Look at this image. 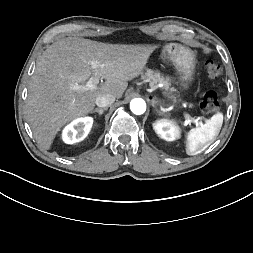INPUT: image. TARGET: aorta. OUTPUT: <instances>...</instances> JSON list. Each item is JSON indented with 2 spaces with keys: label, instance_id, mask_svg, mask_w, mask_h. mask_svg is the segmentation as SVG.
Segmentation results:
<instances>
[{
  "label": "aorta",
  "instance_id": "1",
  "mask_svg": "<svg viewBox=\"0 0 253 253\" xmlns=\"http://www.w3.org/2000/svg\"><path fill=\"white\" fill-rule=\"evenodd\" d=\"M130 109L136 115H141L146 111V103L141 98H135L130 102Z\"/></svg>",
  "mask_w": 253,
  "mask_h": 253
}]
</instances>
